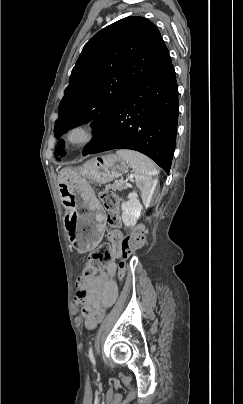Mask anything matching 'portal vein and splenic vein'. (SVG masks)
<instances>
[{"instance_id": "1", "label": "portal vein and splenic vein", "mask_w": 243, "mask_h": 404, "mask_svg": "<svg viewBox=\"0 0 243 404\" xmlns=\"http://www.w3.org/2000/svg\"><path fill=\"white\" fill-rule=\"evenodd\" d=\"M129 181H130V182H134V181H135V178H134V175H133V174H130V175H129ZM130 182H126V185H130Z\"/></svg>"}]
</instances>
